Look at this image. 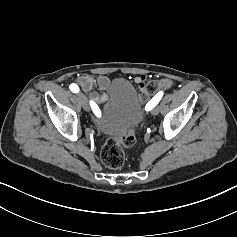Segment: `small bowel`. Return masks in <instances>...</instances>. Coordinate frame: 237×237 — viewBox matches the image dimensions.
Instances as JSON below:
<instances>
[{
  "mask_svg": "<svg viewBox=\"0 0 237 237\" xmlns=\"http://www.w3.org/2000/svg\"><path fill=\"white\" fill-rule=\"evenodd\" d=\"M135 82L139 86L143 98H147L145 94V86L147 77L142 75L135 78ZM77 83L88 94L92 102L98 107V105L104 103L107 100V95L104 93L110 86V79L104 75H98L92 77L90 75H80L77 78ZM161 87H171L173 81L171 79H162L159 81Z\"/></svg>",
  "mask_w": 237,
  "mask_h": 237,
  "instance_id": "1",
  "label": "small bowel"
}]
</instances>
